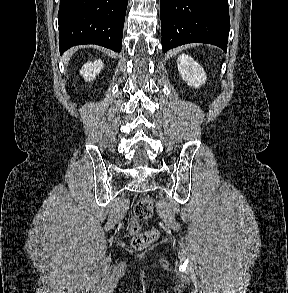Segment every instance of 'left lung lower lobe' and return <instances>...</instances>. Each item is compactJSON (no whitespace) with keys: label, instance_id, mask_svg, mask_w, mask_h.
<instances>
[{"label":"left lung lower lobe","instance_id":"left-lung-lower-lobe-1","mask_svg":"<svg viewBox=\"0 0 288 293\" xmlns=\"http://www.w3.org/2000/svg\"><path fill=\"white\" fill-rule=\"evenodd\" d=\"M160 13L164 52L193 42L227 50L228 0H160Z\"/></svg>","mask_w":288,"mask_h":293}]
</instances>
